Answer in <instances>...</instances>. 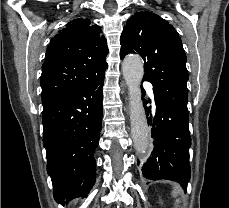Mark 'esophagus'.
<instances>
[{"label":"esophagus","mask_w":229,"mask_h":208,"mask_svg":"<svg viewBox=\"0 0 229 208\" xmlns=\"http://www.w3.org/2000/svg\"><path fill=\"white\" fill-rule=\"evenodd\" d=\"M126 110H127V113H129V110H128V108H127Z\"/></svg>","instance_id":"1"}]
</instances>
